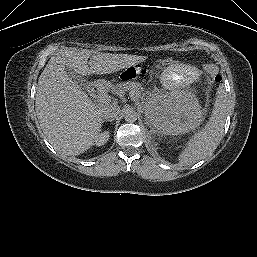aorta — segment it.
I'll return each mask as SVG.
<instances>
[{"mask_svg": "<svg viewBox=\"0 0 257 257\" xmlns=\"http://www.w3.org/2000/svg\"><path fill=\"white\" fill-rule=\"evenodd\" d=\"M123 116L125 121L132 123L137 120L138 114L133 108L127 107L123 111Z\"/></svg>", "mask_w": 257, "mask_h": 257, "instance_id": "obj_1", "label": "aorta"}]
</instances>
